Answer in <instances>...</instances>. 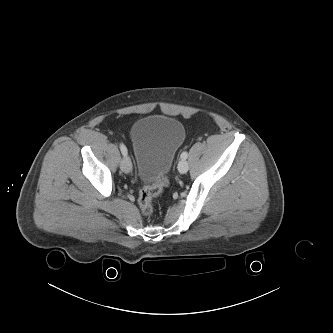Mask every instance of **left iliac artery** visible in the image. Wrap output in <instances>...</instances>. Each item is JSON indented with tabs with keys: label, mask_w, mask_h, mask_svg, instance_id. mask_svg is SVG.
<instances>
[{
	"label": "left iliac artery",
	"mask_w": 333,
	"mask_h": 333,
	"mask_svg": "<svg viewBox=\"0 0 333 333\" xmlns=\"http://www.w3.org/2000/svg\"><path fill=\"white\" fill-rule=\"evenodd\" d=\"M180 157H181L182 160H186L187 157H188V153L186 151H184V152L181 153Z\"/></svg>",
	"instance_id": "left-iliac-artery-1"
}]
</instances>
